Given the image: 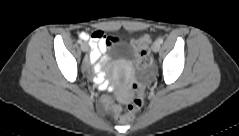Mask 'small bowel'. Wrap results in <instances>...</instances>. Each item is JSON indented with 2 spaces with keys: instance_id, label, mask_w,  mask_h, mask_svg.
<instances>
[{
  "instance_id": "c3829d8e",
  "label": "small bowel",
  "mask_w": 239,
  "mask_h": 136,
  "mask_svg": "<svg viewBox=\"0 0 239 136\" xmlns=\"http://www.w3.org/2000/svg\"><path fill=\"white\" fill-rule=\"evenodd\" d=\"M80 37L86 41H89L91 47H92V52L90 54V62L92 64H95L94 66V72L98 76L102 72L103 64L105 61V57H101V55H105L107 52V49L109 48L110 43L106 42V36L102 32H94L93 34L89 35L87 33H81ZM106 105L110 109H114V104L112 101L107 99L105 101Z\"/></svg>"
}]
</instances>
